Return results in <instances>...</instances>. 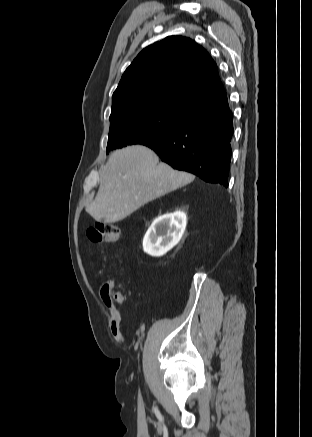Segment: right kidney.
<instances>
[{
    "instance_id": "right-kidney-1",
    "label": "right kidney",
    "mask_w": 312,
    "mask_h": 437,
    "mask_svg": "<svg viewBox=\"0 0 312 437\" xmlns=\"http://www.w3.org/2000/svg\"><path fill=\"white\" fill-rule=\"evenodd\" d=\"M186 225V214L181 211L157 218L144 236V251L151 256H163L179 243Z\"/></svg>"
}]
</instances>
